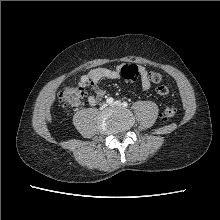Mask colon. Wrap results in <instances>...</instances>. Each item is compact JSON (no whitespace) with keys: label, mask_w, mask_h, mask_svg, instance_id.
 <instances>
[{"label":"colon","mask_w":220,"mask_h":220,"mask_svg":"<svg viewBox=\"0 0 220 220\" xmlns=\"http://www.w3.org/2000/svg\"><path fill=\"white\" fill-rule=\"evenodd\" d=\"M121 77L127 82H134L141 75V70L136 65L127 64L120 70ZM147 78L153 83L159 84L157 87V93L160 95H167L169 89L166 85L161 84L163 77L158 71H146ZM82 97V89L78 86H67L65 87L60 95L59 99L63 107H70L77 103ZM177 108L173 105L167 106L162 112V117L165 120L171 119L175 116Z\"/></svg>","instance_id":"1"}]
</instances>
